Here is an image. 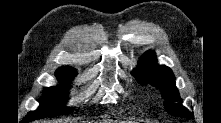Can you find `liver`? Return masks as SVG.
I'll return each mask as SVG.
<instances>
[{"mask_svg":"<svg viewBox=\"0 0 221 123\" xmlns=\"http://www.w3.org/2000/svg\"><path fill=\"white\" fill-rule=\"evenodd\" d=\"M108 123H125V122H118V121H108Z\"/></svg>","mask_w":221,"mask_h":123,"instance_id":"liver-1","label":"liver"}]
</instances>
